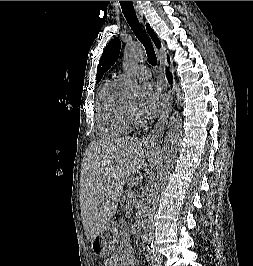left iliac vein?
Wrapping results in <instances>:
<instances>
[{
  "label": "left iliac vein",
  "instance_id": "1",
  "mask_svg": "<svg viewBox=\"0 0 253 266\" xmlns=\"http://www.w3.org/2000/svg\"><path fill=\"white\" fill-rule=\"evenodd\" d=\"M159 261H160V263H161V258H159Z\"/></svg>",
  "mask_w": 253,
  "mask_h": 266
}]
</instances>
